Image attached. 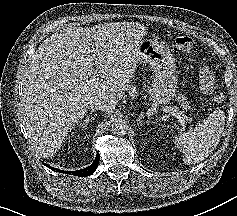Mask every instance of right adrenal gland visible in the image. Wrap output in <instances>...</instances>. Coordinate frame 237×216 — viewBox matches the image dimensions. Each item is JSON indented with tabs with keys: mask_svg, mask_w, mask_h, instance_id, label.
<instances>
[{
	"mask_svg": "<svg viewBox=\"0 0 237 216\" xmlns=\"http://www.w3.org/2000/svg\"><path fill=\"white\" fill-rule=\"evenodd\" d=\"M93 111H94V110H92V111L86 116V119L84 120V122H85L84 127H87V126H88V123H89V122H92V119H90V118H91L92 115H93Z\"/></svg>",
	"mask_w": 237,
	"mask_h": 216,
	"instance_id": "2a0ac1e0",
	"label": "right adrenal gland"
}]
</instances>
